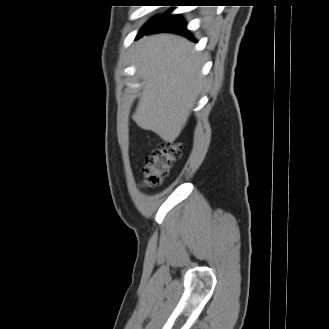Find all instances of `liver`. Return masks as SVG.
I'll return each mask as SVG.
<instances>
[{"instance_id": "1", "label": "liver", "mask_w": 329, "mask_h": 329, "mask_svg": "<svg viewBox=\"0 0 329 329\" xmlns=\"http://www.w3.org/2000/svg\"><path fill=\"white\" fill-rule=\"evenodd\" d=\"M135 63L146 85L133 119L171 143L185 127L199 95L201 57L192 52L187 39L162 33L139 40Z\"/></svg>"}]
</instances>
